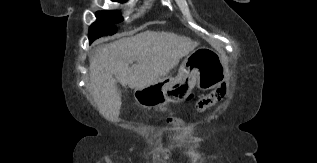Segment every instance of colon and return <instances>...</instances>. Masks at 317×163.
Instances as JSON below:
<instances>
[{"label": "colon", "mask_w": 317, "mask_h": 163, "mask_svg": "<svg viewBox=\"0 0 317 163\" xmlns=\"http://www.w3.org/2000/svg\"><path fill=\"white\" fill-rule=\"evenodd\" d=\"M225 92L226 87L222 86L206 95L201 96L196 103V108L200 111L206 110L207 108L220 101L224 97Z\"/></svg>", "instance_id": "colon-1"}]
</instances>
